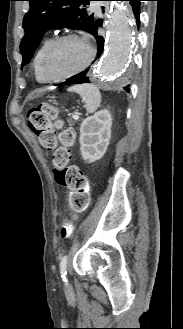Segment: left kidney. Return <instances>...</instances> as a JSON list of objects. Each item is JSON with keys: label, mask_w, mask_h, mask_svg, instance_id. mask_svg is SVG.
Masks as SVG:
<instances>
[{"label": "left kidney", "mask_w": 183, "mask_h": 329, "mask_svg": "<svg viewBox=\"0 0 183 329\" xmlns=\"http://www.w3.org/2000/svg\"><path fill=\"white\" fill-rule=\"evenodd\" d=\"M112 117L107 109L87 117L80 127V150L85 161L92 163L105 154L111 137Z\"/></svg>", "instance_id": "1"}]
</instances>
